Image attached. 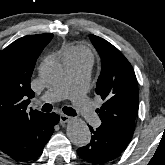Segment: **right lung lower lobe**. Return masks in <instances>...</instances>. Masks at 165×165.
<instances>
[{
  "instance_id": "obj_1",
  "label": "right lung lower lobe",
  "mask_w": 165,
  "mask_h": 165,
  "mask_svg": "<svg viewBox=\"0 0 165 165\" xmlns=\"http://www.w3.org/2000/svg\"><path fill=\"white\" fill-rule=\"evenodd\" d=\"M59 120L55 113L41 115L1 138L0 150L21 162L38 158Z\"/></svg>"
}]
</instances>
